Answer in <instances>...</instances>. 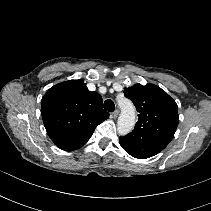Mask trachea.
Segmentation results:
<instances>
[{
  "label": "trachea",
  "mask_w": 211,
  "mask_h": 211,
  "mask_svg": "<svg viewBox=\"0 0 211 211\" xmlns=\"http://www.w3.org/2000/svg\"><path fill=\"white\" fill-rule=\"evenodd\" d=\"M104 109L108 112H113L115 109V105L114 102L111 99H107L104 102Z\"/></svg>",
  "instance_id": "3493384b"
}]
</instances>
